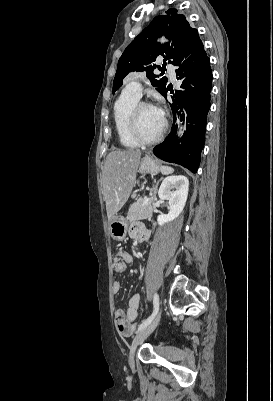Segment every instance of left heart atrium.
Here are the masks:
<instances>
[{
  "mask_svg": "<svg viewBox=\"0 0 273 401\" xmlns=\"http://www.w3.org/2000/svg\"><path fill=\"white\" fill-rule=\"evenodd\" d=\"M150 108L152 109L153 113L158 118V120H160V122L164 123L165 114H164L163 109L158 105L150 106Z\"/></svg>",
  "mask_w": 273,
  "mask_h": 401,
  "instance_id": "39dd6f15",
  "label": "left heart atrium"
}]
</instances>
